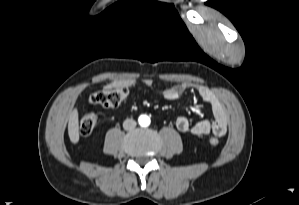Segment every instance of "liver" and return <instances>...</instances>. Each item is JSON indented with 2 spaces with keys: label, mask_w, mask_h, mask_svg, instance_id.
<instances>
[{
  "label": "liver",
  "mask_w": 299,
  "mask_h": 205,
  "mask_svg": "<svg viewBox=\"0 0 299 205\" xmlns=\"http://www.w3.org/2000/svg\"><path fill=\"white\" fill-rule=\"evenodd\" d=\"M68 135L73 144L79 141V119L78 110L75 108L69 115L68 121Z\"/></svg>",
  "instance_id": "obj_1"
}]
</instances>
